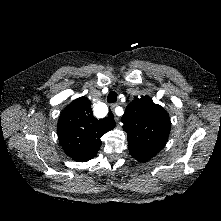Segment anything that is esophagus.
Returning a JSON list of instances; mask_svg holds the SVG:
<instances>
[{
	"label": "esophagus",
	"mask_w": 221,
	"mask_h": 221,
	"mask_svg": "<svg viewBox=\"0 0 221 221\" xmlns=\"http://www.w3.org/2000/svg\"><path fill=\"white\" fill-rule=\"evenodd\" d=\"M116 107H117V104H111L110 105V110H111L112 114L114 115V120L118 121L119 117L115 114V111H114Z\"/></svg>",
	"instance_id": "obj_1"
}]
</instances>
